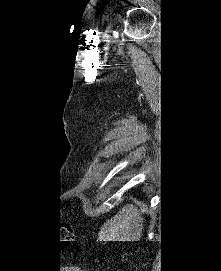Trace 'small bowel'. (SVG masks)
Here are the masks:
<instances>
[{"instance_id": "obj_1", "label": "small bowel", "mask_w": 221, "mask_h": 271, "mask_svg": "<svg viewBox=\"0 0 221 271\" xmlns=\"http://www.w3.org/2000/svg\"><path fill=\"white\" fill-rule=\"evenodd\" d=\"M72 270L73 271H81V269H79V268H73Z\"/></svg>"}]
</instances>
